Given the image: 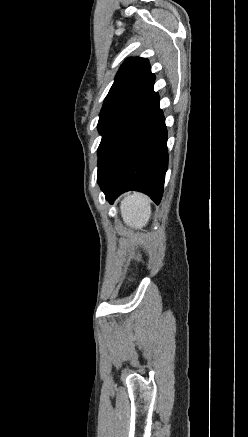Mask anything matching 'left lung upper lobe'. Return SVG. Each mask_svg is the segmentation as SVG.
Segmentation results:
<instances>
[{"mask_svg": "<svg viewBox=\"0 0 248 437\" xmlns=\"http://www.w3.org/2000/svg\"><path fill=\"white\" fill-rule=\"evenodd\" d=\"M155 76L146 58H129L119 69L99 115L98 165L107 143L117 128L155 94Z\"/></svg>", "mask_w": 248, "mask_h": 437, "instance_id": "left-lung-upper-lobe-1", "label": "left lung upper lobe"}]
</instances>
